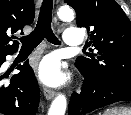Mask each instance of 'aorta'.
Segmentation results:
<instances>
[{
	"instance_id": "aorta-1",
	"label": "aorta",
	"mask_w": 131,
	"mask_h": 115,
	"mask_svg": "<svg viewBox=\"0 0 131 115\" xmlns=\"http://www.w3.org/2000/svg\"><path fill=\"white\" fill-rule=\"evenodd\" d=\"M58 17L63 21H71L74 18V12L69 7H62L58 11ZM65 111L66 97L60 94L53 100L48 115H65Z\"/></svg>"
}]
</instances>
